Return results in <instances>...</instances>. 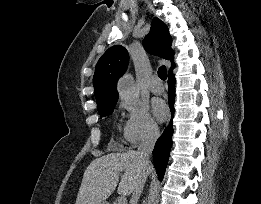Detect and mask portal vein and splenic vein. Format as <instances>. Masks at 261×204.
I'll return each mask as SVG.
<instances>
[{
	"label": "portal vein and splenic vein",
	"instance_id": "1",
	"mask_svg": "<svg viewBox=\"0 0 261 204\" xmlns=\"http://www.w3.org/2000/svg\"><path fill=\"white\" fill-rule=\"evenodd\" d=\"M118 204H127V199L124 194L118 197Z\"/></svg>",
	"mask_w": 261,
	"mask_h": 204
}]
</instances>
